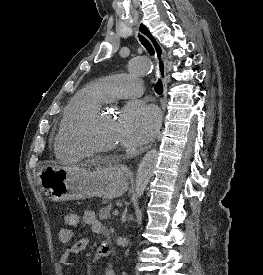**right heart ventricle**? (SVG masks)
<instances>
[{"mask_svg":"<svg viewBox=\"0 0 263 275\" xmlns=\"http://www.w3.org/2000/svg\"><path fill=\"white\" fill-rule=\"evenodd\" d=\"M98 83L89 84L80 90L66 106L56 137V150L66 158L80 159L88 155L70 139V130L89 112L106 102Z\"/></svg>","mask_w":263,"mask_h":275,"instance_id":"e07e8e85","label":"right heart ventricle"}]
</instances>
